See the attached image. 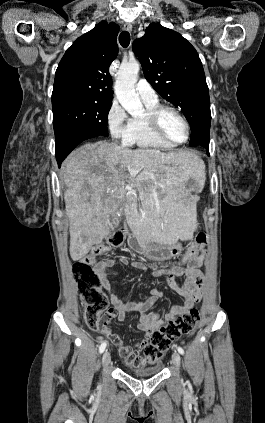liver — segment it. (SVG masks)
<instances>
[{
	"mask_svg": "<svg viewBox=\"0 0 265 423\" xmlns=\"http://www.w3.org/2000/svg\"><path fill=\"white\" fill-rule=\"evenodd\" d=\"M62 173L74 261L110 234V218L120 213L139 241L168 245L193 237L196 208L187 199L186 183L205 181L204 163L194 153L131 150L98 141L69 154ZM126 182L135 189L127 190Z\"/></svg>",
	"mask_w": 265,
	"mask_h": 423,
	"instance_id": "6515ba94",
	"label": "liver"
}]
</instances>
